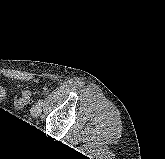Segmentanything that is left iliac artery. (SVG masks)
I'll use <instances>...</instances> for the list:
<instances>
[{"label":"left iliac artery","instance_id":"left-iliac-artery-1","mask_svg":"<svg viewBox=\"0 0 165 159\" xmlns=\"http://www.w3.org/2000/svg\"><path fill=\"white\" fill-rule=\"evenodd\" d=\"M38 103H39V105L42 106V104H43V99H39V100H38Z\"/></svg>","mask_w":165,"mask_h":159}]
</instances>
